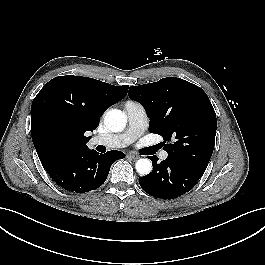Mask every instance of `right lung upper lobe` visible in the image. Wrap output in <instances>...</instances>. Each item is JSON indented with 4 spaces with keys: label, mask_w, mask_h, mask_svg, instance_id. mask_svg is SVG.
Returning <instances> with one entry per match:
<instances>
[{
    "label": "right lung upper lobe",
    "mask_w": 265,
    "mask_h": 265,
    "mask_svg": "<svg viewBox=\"0 0 265 265\" xmlns=\"http://www.w3.org/2000/svg\"><path fill=\"white\" fill-rule=\"evenodd\" d=\"M128 88L73 75L46 83L31 105V136L40 161L89 149L85 132L97 128L99 117Z\"/></svg>",
    "instance_id": "1"
}]
</instances>
